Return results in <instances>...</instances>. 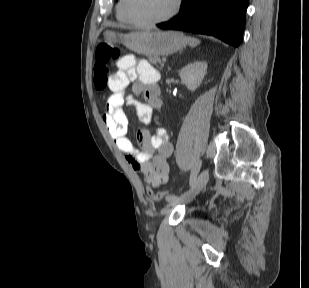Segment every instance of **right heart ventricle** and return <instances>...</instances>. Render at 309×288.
I'll return each instance as SVG.
<instances>
[{
	"label": "right heart ventricle",
	"mask_w": 309,
	"mask_h": 288,
	"mask_svg": "<svg viewBox=\"0 0 309 288\" xmlns=\"http://www.w3.org/2000/svg\"><path fill=\"white\" fill-rule=\"evenodd\" d=\"M122 0H118V3L116 5V18L117 20L122 24H128V21L125 19L122 11Z\"/></svg>",
	"instance_id": "1"
}]
</instances>
